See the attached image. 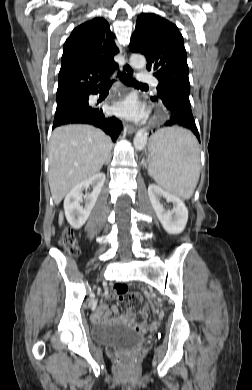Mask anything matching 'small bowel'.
<instances>
[{
    "instance_id": "1",
    "label": "small bowel",
    "mask_w": 252,
    "mask_h": 390,
    "mask_svg": "<svg viewBox=\"0 0 252 390\" xmlns=\"http://www.w3.org/2000/svg\"><path fill=\"white\" fill-rule=\"evenodd\" d=\"M117 296L119 300L124 299V295L117 294L115 291H110L107 294L108 298H114ZM142 299H140L141 301ZM141 321H137L136 315L130 306H127L126 312L123 315L118 314V308L116 306H108L106 304H100L97 307L96 312L92 314V320L94 322H114L121 323L129 326L131 329L145 333L149 330L148 316L149 308L147 305H143L140 310Z\"/></svg>"
}]
</instances>
